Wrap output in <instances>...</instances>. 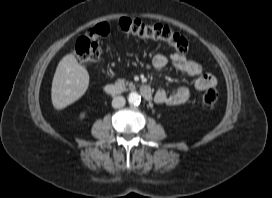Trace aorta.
I'll use <instances>...</instances> for the list:
<instances>
[{"label": "aorta", "mask_w": 272, "mask_h": 198, "mask_svg": "<svg viewBox=\"0 0 272 198\" xmlns=\"http://www.w3.org/2000/svg\"><path fill=\"white\" fill-rule=\"evenodd\" d=\"M128 102L131 105H139L141 102V96L137 92H131L128 96Z\"/></svg>", "instance_id": "762f6f07"}]
</instances>
